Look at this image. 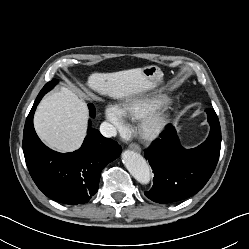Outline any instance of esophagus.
<instances>
[{
  "label": "esophagus",
  "mask_w": 249,
  "mask_h": 249,
  "mask_svg": "<svg viewBox=\"0 0 249 249\" xmlns=\"http://www.w3.org/2000/svg\"><path fill=\"white\" fill-rule=\"evenodd\" d=\"M129 147L134 151L141 152V147L137 143H131Z\"/></svg>",
  "instance_id": "obj_1"
}]
</instances>
